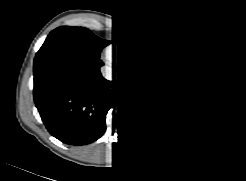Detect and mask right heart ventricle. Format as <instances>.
Masks as SVG:
<instances>
[{
    "mask_svg": "<svg viewBox=\"0 0 246 181\" xmlns=\"http://www.w3.org/2000/svg\"><path fill=\"white\" fill-rule=\"evenodd\" d=\"M155 44L153 42H145L142 44H134L131 46L129 50L123 56L127 59L128 62H134L141 56L149 53L153 48Z\"/></svg>",
    "mask_w": 246,
    "mask_h": 181,
    "instance_id": "right-heart-ventricle-1",
    "label": "right heart ventricle"
}]
</instances>
